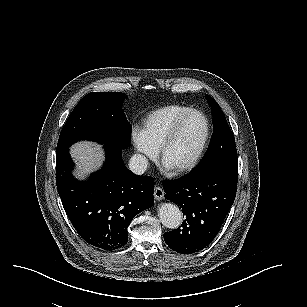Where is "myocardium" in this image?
<instances>
[{
	"instance_id": "f54148a6",
	"label": "myocardium",
	"mask_w": 307,
	"mask_h": 307,
	"mask_svg": "<svg viewBox=\"0 0 307 307\" xmlns=\"http://www.w3.org/2000/svg\"><path fill=\"white\" fill-rule=\"evenodd\" d=\"M190 118H196L198 124L201 128V139L199 145L197 147L194 155L185 162H175L171 161L166 157V152L168 149V145L171 141L174 140L176 131L180 129L182 124L185 121H188ZM208 133V125L206 123L205 118L203 117V113L198 108H190L186 111V113L182 114L175 123L172 124V128L168 129V134L163 137L162 143L158 144V150L156 151V161L157 163L165 170L173 172V171H184L192 167V165L196 162V160L201 155L202 151L205 148L206 139ZM167 145V146H165Z\"/></svg>"
}]
</instances>
